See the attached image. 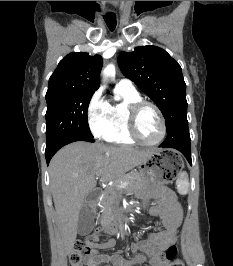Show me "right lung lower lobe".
Returning <instances> with one entry per match:
<instances>
[{
    "label": "right lung lower lobe",
    "mask_w": 233,
    "mask_h": 266,
    "mask_svg": "<svg viewBox=\"0 0 233 266\" xmlns=\"http://www.w3.org/2000/svg\"><path fill=\"white\" fill-rule=\"evenodd\" d=\"M75 141H88V142H94L92 137H88V136H76L73 138H70L68 140L62 141L59 144H57L56 146H53L52 148L46 149L45 151V157H46V161L47 164H49L50 159L52 158V156L63 146L71 143V142H75Z\"/></svg>",
    "instance_id": "98d812e1"
}]
</instances>
